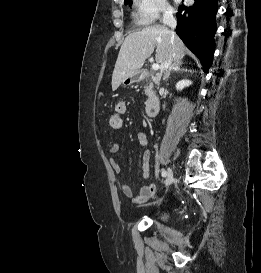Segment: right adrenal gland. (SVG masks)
Masks as SVG:
<instances>
[{
    "mask_svg": "<svg viewBox=\"0 0 261 273\" xmlns=\"http://www.w3.org/2000/svg\"><path fill=\"white\" fill-rule=\"evenodd\" d=\"M182 64H183V62H182L181 60H180V61H176V62L174 63V65H173V67L170 68V69L166 72V74H165V76H164V79L166 80V79L169 78L171 71H176V72H178V71L183 70V69L181 68Z\"/></svg>",
    "mask_w": 261,
    "mask_h": 273,
    "instance_id": "2a0ac1e0",
    "label": "right adrenal gland"
}]
</instances>
